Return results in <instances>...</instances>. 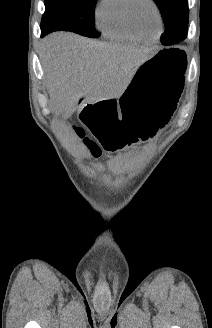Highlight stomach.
I'll use <instances>...</instances> for the list:
<instances>
[{
    "instance_id": "1",
    "label": "stomach",
    "mask_w": 212,
    "mask_h": 328,
    "mask_svg": "<svg viewBox=\"0 0 212 328\" xmlns=\"http://www.w3.org/2000/svg\"><path fill=\"white\" fill-rule=\"evenodd\" d=\"M186 60L178 48L155 52L135 71L117 102H87L81 123L99 146L122 150L161 131L183 85ZM111 100V99H109ZM146 100L149 102H138Z\"/></svg>"
}]
</instances>
